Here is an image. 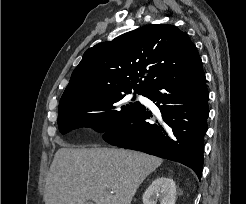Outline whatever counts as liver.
Returning <instances> with one entry per match:
<instances>
[{"label":"liver","mask_w":246,"mask_h":204,"mask_svg":"<svg viewBox=\"0 0 246 204\" xmlns=\"http://www.w3.org/2000/svg\"><path fill=\"white\" fill-rule=\"evenodd\" d=\"M161 158L116 148H60L46 177L45 204H131Z\"/></svg>","instance_id":"6515ba94"}]
</instances>
